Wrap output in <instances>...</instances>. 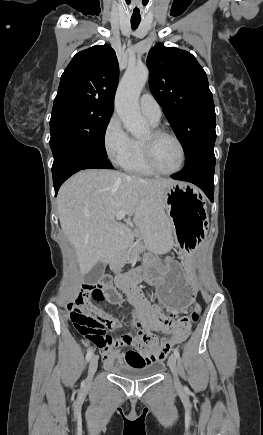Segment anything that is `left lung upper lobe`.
<instances>
[{"label": "left lung upper lobe", "mask_w": 263, "mask_h": 435, "mask_svg": "<svg viewBox=\"0 0 263 435\" xmlns=\"http://www.w3.org/2000/svg\"><path fill=\"white\" fill-rule=\"evenodd\" d=\"M150 89L161 105L185 152V163L214 148L216 114L207 75L195 57L156 44L148 53Z\"/></svg>", "instance_id": "1"}]
</instances>
